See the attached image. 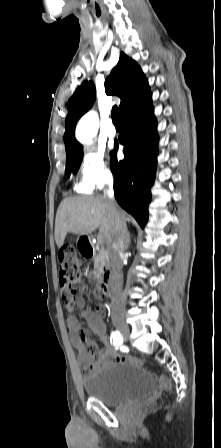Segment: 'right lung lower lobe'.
<instances>
[{
    "label": "right lung lower lobe",
    "mask_w": 221,
    "mask_h": 448,
    "mask_svg": "<svg viewBox=\"0 0 221 448\" xmlns=\"http://www.w3.org/2000/svg\"><path fill=\"white\" fill-rule=\"evenodd\" d=\"M124 160L117 161L115 146L111 152V171L117 202L144 228L148 220L150 187L154 183L158 134L151 94L121 117Z\"/></svg>",
    "instance_id": "obj_1"
}]
</instances>
